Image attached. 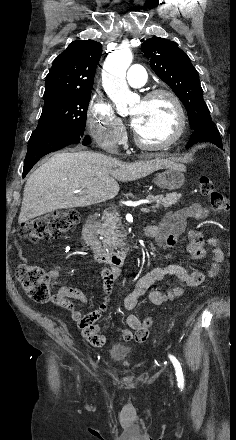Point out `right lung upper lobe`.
Segmentation results:
<instances>
[{"mask_svg": "<svg viewBox=\"0 0 236 440\" xmlns=\"http://www.w3.org/2000/svg\"><path fill=\"white\" fill-rule=\"evenodd\" d=\"M101 53L102 45L93 40L70 43L46 76L45 103L91 93Z\"/></svg>", "mask_w": 236, "mask_h": 440, "instance_id": "obj_1", "label": "right lung upper lobe"}]
</instances>
